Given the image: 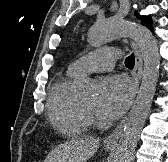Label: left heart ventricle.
<instances>
[{"label": "left heart ventricle", "instance_id": "obj_1", "mask_svg": "<svg viewBox=\"0 0 168 162\" xmlns=\"http://www.w3.org/2000/svg\"><path fill=\"white\" fill-rule=\"evenodd\" d=\"M84 104L86 106H88L89 108L93 109L95 107V105H96V98L94 97V98H91L89 100H86V101H84Z\"/></svg>", "mask_w": 168, "mask_h": 162}]
</instances>
